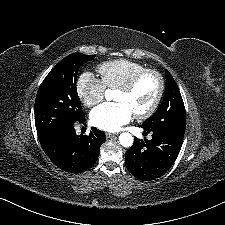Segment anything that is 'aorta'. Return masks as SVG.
<instances>
[{
    "mask_svg": "<svg viewBox=\"0 0 225 225\" xmlns=\"http://www.w3.org/2000/svg\"><path fill=\"white\" fill-rule=\"evenodd\" d=\"M109 95H110V91L107 90L105 92L106 99H110ZM133 141H134L133 136L128 132L121 133L119 136V142L123 147L127 148L132 146Z\"/></svg>",
    "mask_w": 225,
    "mask_h": 225,
    "instance_id": "1",
    "label": "aorta"
}]
</instances>
